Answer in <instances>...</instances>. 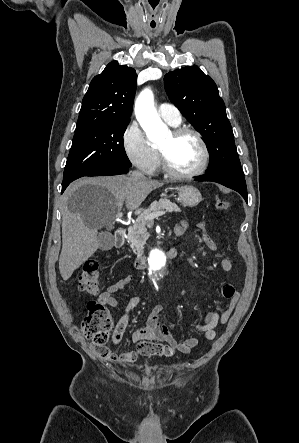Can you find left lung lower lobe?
Segmentation results:
<instances>
[{"label": "left lung lower lobe", "instance_id": "0a47b994", "mask_svg": "<svg viewBox=\"0 0 299 443\" xmlns=\"http://www.w3.org/2000/svg\"><path fill=\"white\" fill-rule=\"evenodd\" d=\"M195 180L220 183L240 193L247 202L248 194L244 175L236 173H213L195 177Z\"/></svg>", "mask_w": 299, "mask_h": 443}]
</instances>
